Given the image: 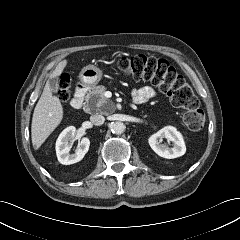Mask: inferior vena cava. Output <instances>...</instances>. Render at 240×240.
Listing matches in <instances>:
<instances>
[{"label": "inferior vena cava", "mask_w": 240, "mask_h": 240, "mask_svg": "<svg viewBox=\"0 0 240 240\" xmlns=\"http://www.w3.org/2000/svg\"><path fill=\"white\" fill-rule=\"evenodd\" d=\"M90 121L92 124L100 126L104 123L105 118L102 115L95 114L90 117Z\"/></svg>", "instance_id": "inferior-vena-cava-1"}]
</instances>
